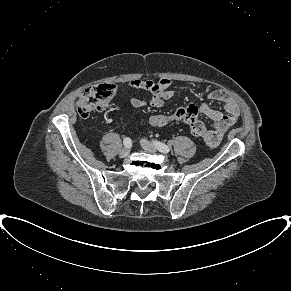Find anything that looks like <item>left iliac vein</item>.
I'll return each mask as SVG.
<instances>
[{
	"label": "left iliac vein",
	"instance_id": "4c4485c4",
	"mask_svg": "<svg viewBox=\"0 0 291 291\" xmlns=\"http://www.w3.org/2000/svg\"><path fill=\"white\" fill-rule=\"evenodd\" d=\"M141 146L145 151H147L149 153H156L157 152L156 146L153 145L150 141H148L146 139L141 140Z\"/></svg>",
	"mask_w": 291,
	"mask_h": 291
}]
</instances>
